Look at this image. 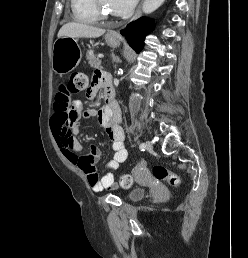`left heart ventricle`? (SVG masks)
Masks as SVG:
<instances>
[{
  "instance_id": "obj_1",
  "label": "left heart ventricle",
  "mask_w": 248,
  "mask_h": 258,
  "mask_svg": "<svg viewBox=\"0 0 248 258\" xmlns=\"http://www.w3.org/2000/svg\"><path fill=\"white\" fill-rule=\"evenodd\" d=\"M102 4L106 9H108L107 0H102Z\"/></svg>"
}]
</instances>
